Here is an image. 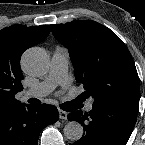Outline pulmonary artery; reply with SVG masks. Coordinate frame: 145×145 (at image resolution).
I'll return each mask as SVG.
<instances>
[{"mask_svg": "<svg viewBox=\"0 0 145 145\" xmlns=\"http://www.w3.org/2000/svg\"><path fill=\"white\" fill-rule=\"evenodd\" d=\"M67 67L68 59L66 51L54 50L47 77L34 87L23 92V97H42L52 92L58 85H65L67 83ZM92 108L93 101H90L86 105V110L90 111Z\"/></svg>", "mask_w": 145, "mask_h": 145, "instance_id": "1", "label": "pulmonary artery"}]
</instances>
